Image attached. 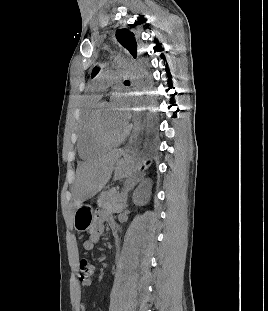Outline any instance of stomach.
<instances>
[{
  "mask_svg": "<svg viewBox=\"0 0 268 311\" xmlns=\"http://www.w3.org/2000/svg\"><path fill=\"white\" fill-rule=\"evenodd\" d=\"M137 171V163L131 154H124L114 166V180L130 177ZM93 221L92 210L85 205H80L74 213V228L78 232L88 231Z\"/></svg>",
  "mask_w": 268,
  "mask_h": 311,
  "instance_id": "stomach-1",
  "label": "stomach"
}]
</instances>
